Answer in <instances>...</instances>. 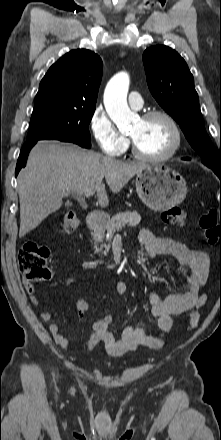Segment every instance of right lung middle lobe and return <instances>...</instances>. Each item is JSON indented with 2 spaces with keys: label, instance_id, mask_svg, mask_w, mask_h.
<instances>
[{
  "label": "right lung middle lobe",
  "instance_id": "1",
  "mask_svg": "<svg viewBox=\"0 0 221 440\" xmlns=\"http://www.w3.org/2000/svg\"><path fill=\"white\" fill-rule=\"evenodd\" d=\"M95 106H80L58 101L35 103L27 141L68 140L84 148L91 147L89 123Z\"/></svg>",
  "mask_w": 221,
  "mask_h": 440
}]
</instances>
